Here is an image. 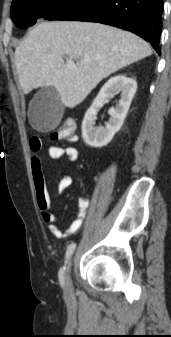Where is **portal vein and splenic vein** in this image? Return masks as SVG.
I'll list each match as a JSON object with an SVG mask.
<instances>
[{"instance_id":"1","label":"portal vein and splenic vein","mask_w":171,"mask_h":337,"mask_svg":"<svg viewBox=\"0 0 171 337\" xmlns=\"http://www.w3.org/2000/svg\"><path fill=\"white\" fill-rule=\"evenodd\" d=\"M66 66L70 69H74L76 68V64L73 62V61H70L67 59V63H66Z\"/></svg>"}]
</instances>
